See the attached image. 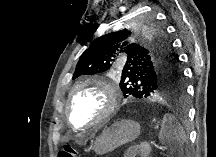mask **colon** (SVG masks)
<instances>
[{
    "label": "colon",
    "instance_id": "obj_1",
    "mask_svg": "<svg viewBox=\"0 0 216 157\" xmlns=\"http://www.w3.org/2000/svg\"><path fill=\"white\" fill-rule=\"evenodd\" d=\"M58 157H78V154L72 147L65 146L59 151Z\"/></svg>",
    "mask_w": 216,
    "mask_h": 157
}]
</instances>
